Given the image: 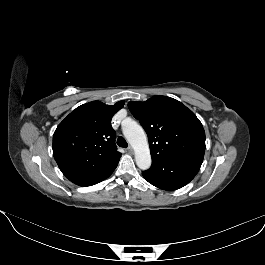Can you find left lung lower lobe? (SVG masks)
<instances>
[{"label": "left lung lower lobe", "instance_id": "left-lung-lower-lobe-1", "mask_svg": "<svg viewBox=\"0 0 265 265\" xmlns=\"http://www.w3.org/2000/svg\"><path fill=\"white\" fill-rule=\"evenodd\" d=\"M204 153H195L167 160L152 162L143 177L150 184L163 190H176L188 184L198 173Z\"/></svg>", "mask_w": 265, "mask_h": 265}]
</instances>
